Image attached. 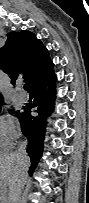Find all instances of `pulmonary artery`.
<instances>
[{"mask_svg":"<svg viewBox=\"0 0 89 203\" xmlns=\"http://www.w3.org/2000/svg\"><path fill=\"white\" fill-rule=\"evenodd\" d=\"M18 99L21 101V102H26L28 100V95L25 93V92H20L18 94Z\"/></svg>","mask_w":89,"mask_h":203,"instance_id":"pulmonary-artery-1","label":"pulmonary artery"}]
</instances>
